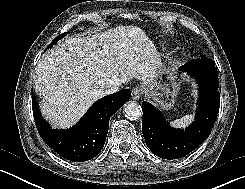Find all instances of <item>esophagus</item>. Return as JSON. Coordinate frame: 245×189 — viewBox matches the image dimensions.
I'll list each match as a JSON object with an SVG mask.
<instances>
[{
  "instance_id": "1",
  "label": "esophagus",
  "mask_w": 245,
  "mask_h": 189,
  "mask_svg": "<svg viewBox=\"0 0 245 189\" xmlns=\"http://www.w3.org/2000/svg\"><path fill=\"white\" fill-rule=\"evenodd\" d=\"M142 95V90L140 88H134L132 90L131 96L133 100H138Z\"/></svg>"
}]
</instances>
